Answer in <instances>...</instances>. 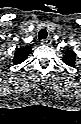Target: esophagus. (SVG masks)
Wrapping results in <instances>:
<instances>
[{"label":"esophagus","mask_w":81,"mask_h":124,"mask_svg":"<svg viewBox=\"0 0 81 124\" xmlns=\"http://www.w3.org/2000/svg\"><path fill=\"white\" fill-rule=\"evenodd\" d=\"M51 43H52L51 37H48L47 39L41 41V44L43 45H51Z\"/></svg>","instance_id":"obj_1"}]
</instances>
